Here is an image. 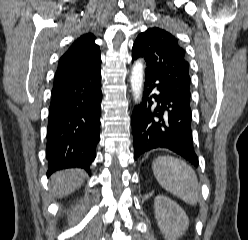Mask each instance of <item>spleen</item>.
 <instances>
[{"label":"spleen","instance_id":"3e777b00","mask_svg":"<svg viewBox=\"0 0 248 240\" xmlns=\"http://www.w3.org/2000/svg\"><path fill=\"white\" fill-rule=\"evenodd\" d=\"M158 183L167 191L190 205H196L200 186L195 171L185 161L171 156H160L152 163Z\"/></svg>","mask_w":248,"mask_h":240}]
</instances>
